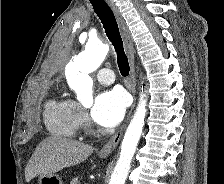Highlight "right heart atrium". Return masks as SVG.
Instances as JSON below:
<instances>
[{
	"label": "right heart atrium",
	"instance_id": "1",
	"mask_svg": "<svg viewBox=\"0 0 224 184\" xmlns=\"http://www.w3.org/2000/svg\"><path fill=\"white\" fill-rule=\"evenodd\" d=\"M76 108H77V118H78L79 126L86 125L87 124V114H86L85 110L77 104H76Z\"/></svg>",
	"mask_w": 224,
	"mask_h": 184
}]
</instances>
